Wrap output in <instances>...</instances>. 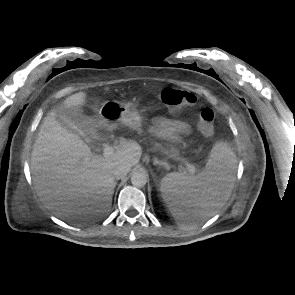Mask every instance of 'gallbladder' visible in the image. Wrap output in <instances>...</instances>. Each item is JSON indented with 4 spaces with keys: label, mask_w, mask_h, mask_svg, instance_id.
Returning a JSON list of instances; mask_svg holds the SVG:
<instances>
[{
    "label": "gallbladder",
    "mask_w": 295,
    "mask_h": 295,
    "mask_svg": "<svg viewBox=\"0 0 295 295\" xmlns=\"http://www.w3.org/2000/svg\"><path fill=\"white\" fill-rule=\"evenodd\" d=\"M56 120L59 124L69 132L78 134L79 130L76 127L77 123H81L82 118L71 109L58 107L55 109Z\"/></svg>",
    "instance_id": "obj_1"
}]
</instances>
